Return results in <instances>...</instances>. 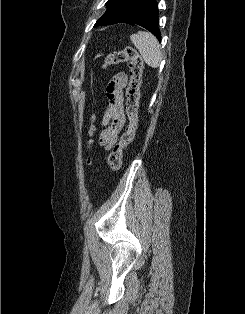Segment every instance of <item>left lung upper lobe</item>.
I'll list each match as a JSON object with an SVG mask.
<instances>
[{"label":"left lung upper lobe","instance_id":"1","mask_svg":"<svg viewBox=\"0 0 245 314\" xmlns=\"http://www.w3.org/2000/svg\"><path fill=\"white\" fill-rule=\"evenodd\" d=\"M147 0H108L107 10L96 25L128 23L142 8Z\"/></svg>","mask_w":245,"mask_h":314}]
</instances>
